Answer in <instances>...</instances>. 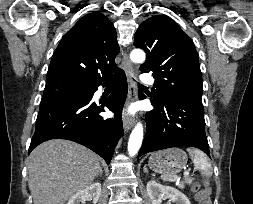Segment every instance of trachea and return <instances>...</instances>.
Here are the masks:
<instances>
[{"label": "trachea", "instance_id": "3493384b", "mask_svg": "<svg viewBox=\"0 0 253 204\" xmlns=\"http://www.w3.org/2000/svg\"><path fill=\"white\" fill-rule=\"evenodd\" d=\"M139 87H144L143 85L138 84Z\"/></svg>", "mask_w": 253, "mask_h": 204}]
</instances>
